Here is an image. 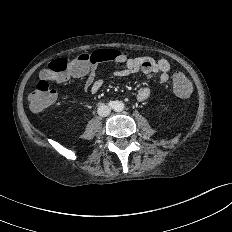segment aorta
Returning <instances> with one entry per match:
<instances>
[{
	"mask_svg": "<svg viewBox=\"0 0 232 232\" xmlns=\"http://www.w3.org/2000/svg\"><path fill=\"white\" fill-rule=\"evenodd\" d=\"M124 109V103L121 101H116L114 105L115 111H122Z\"/></svg>",
	"mask_w": 232,
	"mask_h": 232,
	"instance_id": "1",
	"label": "aorta"
}]
</instances>
